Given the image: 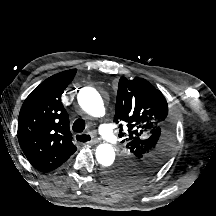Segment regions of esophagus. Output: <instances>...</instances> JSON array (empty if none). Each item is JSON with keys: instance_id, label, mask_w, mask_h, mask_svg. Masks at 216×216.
Wrapping results in <instances>:
<instances>
[{"instance_id": "1", "label": "esophagus", "mask_w": 216, "mask_h": 216, "mask_svg": "<svg viewBox=\"0 0 216 216\" xmlns=\"http://www.w3.org/2000/svg\"><path fill=\"white\" fill-rule=\"evenodd\" d=\"M79 136H84V138L88 139V141L81 142L82 144H96L98 143V140L94 138L91 134L85 133V134H77L75 136L76 140ZM79 141V140H78Z\"/></svg>"}]
</instances>
